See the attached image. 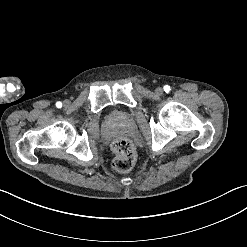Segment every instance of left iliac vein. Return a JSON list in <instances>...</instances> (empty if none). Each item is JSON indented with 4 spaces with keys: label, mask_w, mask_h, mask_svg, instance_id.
<instances>
[{
    "label": "left iliac vein",
    "mask_w": 247,
    "mask_h": 247,
    "mask_svg": "<svg viewBox=\"0 0 247 247\" xmlns=\"http://www.w3.org/2000/svg\"><path fill=\"white\" fill-rule=\"evenodd\" d=\"M155 93H156V95L160 96V95L163 94V89H162L161 87H157V88L155 89Z\"/></svg>",
    "instance_id": "4c4485c4"
}]
</instances>
